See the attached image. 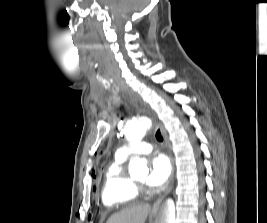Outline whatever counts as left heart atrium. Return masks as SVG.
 Here are the masks:
<instances>
[{
    "instance_id": "obj_1",
    "label": "left heart atrium",
    "mask_w": 267,
    "mask_h": 223,
    "mask_svg": "<svg viewBox=\"0 0 267 223\" xmlns=\"http://www.w3.org/2000/svg\"><path fill=\"white\" fill-rule=\"evenodd\" d=\"M172 173V163L165 154H158L150 161V169L146 182L151 187H162L169 180Z\"/></svg>"
}]
</instances>
